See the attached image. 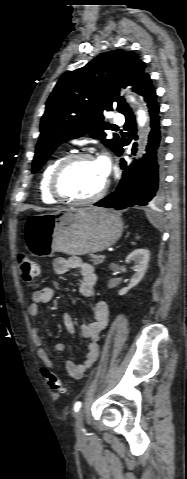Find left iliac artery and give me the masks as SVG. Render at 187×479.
I'll use <instances>...</instances> for the list:
<instances>
[{
    "mask_svg": "<svg viewBox=\"0 0 187 479\" xmlns=\"http://www.w3.org/2000/svg\"><path fill=\"white\" fill-rule=\"evenodd\" d=\"M81 405H82V404H81L80 401L76 402V403L74 404V411H75V412H78V411L80 410V408H81Z\"/></svg>",
    "mask_w": 187,
    "mask_h": 479,
    "instance_id": "obj_1",
    "label": "left iliac artery"
}]
</instances>
